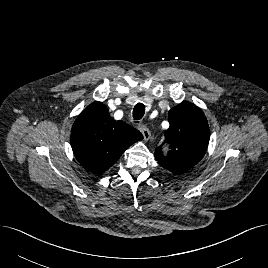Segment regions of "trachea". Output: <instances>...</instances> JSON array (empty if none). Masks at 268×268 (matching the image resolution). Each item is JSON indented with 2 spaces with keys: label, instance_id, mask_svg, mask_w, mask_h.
Wrapping results in <instances>:
<instances>
[{
  "label": "trachea",
  "instance_id": "1",
  "mask_svg": "<svg viewBox=\"0 0 268 268\" xmlns=\"http://www.w3.org/2000/svg\"><path fill=\"white\" fill-rule=\"evenodd\" d=\"M145 113V105L142 103H137L133 109V119L135 122H139V120L144 116Z\"/></svg>",
  "mask_w": 268,
  "mask_h": 268
}]
</instances>
